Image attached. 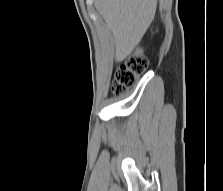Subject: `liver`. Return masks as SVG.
<instances>
[{"label":"liver","instance_id":"liver-1","mask_svg":"<svg viewBox=\"0 0 223 191\" xmlns=\"http://www.w3.org/2000/svg\"><path fill=\"white\" fill-rule=\"evenodd\" d=\"M94 5L113 33L115 60L120 62L135 49L150 26L157 0H94Z\"/></svg>","mask_w":223,"mask_h":191}]
</instances>
